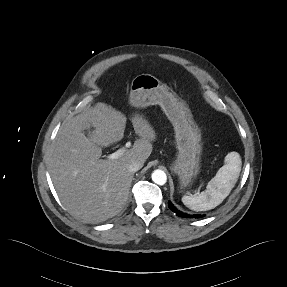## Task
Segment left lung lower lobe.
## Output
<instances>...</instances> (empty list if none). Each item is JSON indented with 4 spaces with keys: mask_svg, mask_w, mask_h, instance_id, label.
<instances>
[{
    "mask_svg": "<svg viewBox=\"0 0 287 287\" xmlns=\"http://www.w3.org/2000/svg\"><path fill=\"white\" fill-rule=\"evenodd\" d=\"M168 206L171 211L175 212L177 216L184 217V218H200L203 217L202 215H189L187 213H183L179 211L170 201L168 202Z\"/></svg>",
    "mask_w": 287,
    "mask_h": 287,
    "instance_id": "0a47b994",
    "label": "left lung lower lobe"
}]
</instances>
